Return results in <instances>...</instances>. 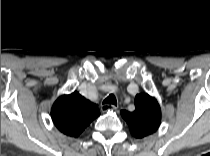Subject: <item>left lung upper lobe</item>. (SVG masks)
Instances as JSON below:
<instances>
[{
    "mask_svg": "<svg viewBox=\"0 0 210 156\" xmlns=\"http://www.w3.org/2000/svg\"><path fill=\"white\" fill-rule=\"evenodd\" d=\"M121 115L136 138H144L156 132L161 122L160 106L156 99L147 93L136 95L135 110L133 112L123 110Z\"/></svg>",
    "mask_w": 210,
    "mask_h": 156,
    "instance_id": "5c2ea615",
    "label": "left lung upper lobe"
}]
</instances>
